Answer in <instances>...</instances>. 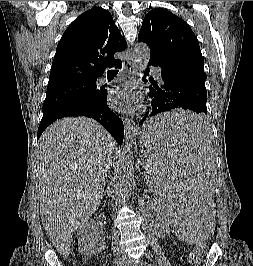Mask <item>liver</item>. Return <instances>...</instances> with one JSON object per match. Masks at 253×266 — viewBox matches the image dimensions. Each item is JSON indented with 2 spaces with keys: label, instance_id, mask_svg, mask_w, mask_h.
Wrapping results in <instances>:
<instances>
[{
  "label": "liver",
  "instance_id": "obj_1",
  "mask_svg": "<svg viewBox=\"0 0 253 266\" xmlns=\"http://www.w3.org/2000/svg\"><path fill=\"white\" fill-rule=\"evenodd\" d=\"M119 149L96 121L67 117L50 125L37 147L40 215L57 251L68 256L73 234L101 204Z\"/></svg>",
  "mask_w": 253,
  "mask_h": 266
}]
</instances>
